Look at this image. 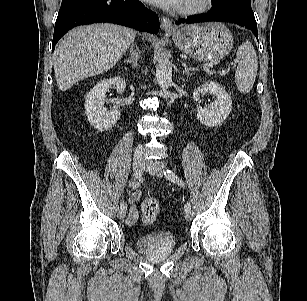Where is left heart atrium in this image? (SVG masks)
Returning a JSON list of instances; mask_svg holds the SVG:
<instances>
[{"instance_id":"1","label":"left heart atrium","mask_w":307,"mask_h":301,"mask_svg":"<svg viewBox=\"0 0 307 301\" xmlns=\"http://www.w3.org/2000/svg\"><path fill=\"white\" fill-rule=\"evenodd\" d=\"M152 5L162 8H178L183 0H144Z\"/></svg>"}]
</instances>
